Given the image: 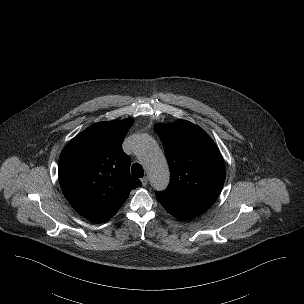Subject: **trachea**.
I'll use <instances>...</instances> for the list:
<instances>
[{
	"mask_svg": "<svg viewBox=\"0 0 304 304\" xmlns=\"http://www.w3.org/2000/svg\"><path fill=\"white\" fill-rule=\"evenodd\" d=\"M132 175L142 178L144 175L143 167L139 163H134L131 167Z\"/></svg>",
	"mask_w": 304,
	"mask_h": 304,
	"instance_id": "3493384b",
	"label": "trachea"
}]
</instances>
